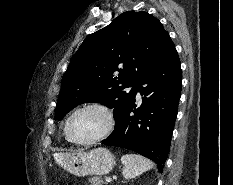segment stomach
<instances>
[{
    "label": "stomach",
    "mask_w": 233,
    "mask_h": 185,
    "mask_svg": "<svg viewBox=\"0 0 233 185\" xmlns=\"http://www.w3.org/2000/svg\"><path fill=\"white\" fill-rule=\"evenodd\" d=\"M55 160L64 170L76 176L107 174L115 166V157L106 148L58 153Z\"/></svg>",
    "instance_id": "0dacf381"
}]
</instances>
